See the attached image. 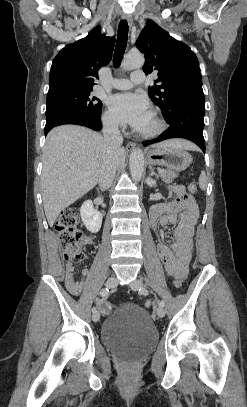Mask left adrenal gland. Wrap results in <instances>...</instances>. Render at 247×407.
<instances>
[{
  "mask_svg": "<svg viewBox=\"0 0 247 407\" xmlns=\"http://www.w3.org/2000/svg\"><path fill=\"white\" fill-rule=\"evenodd\" d=\"M150 169H151V175H156L157 176V174L154 172V169L151 168V167H150Z\"/></svg>",
  "mask_w": 247,
  "mask_h": 407,
  "instance_id": "1",
  "label": "left adrenal gland"
}]
</instances>
